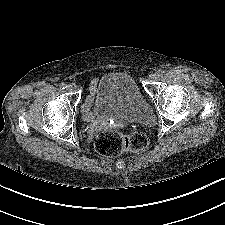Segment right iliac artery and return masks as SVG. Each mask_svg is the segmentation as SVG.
<instances>
[{
    "instance_id": "obj_1",
    "label": "right iliac artery",
    "mask_w": 225,
    "mask_h": 225,
    "mask_svg": "<svg viewBox=\"0 0 225 225\" xmlns=\"http://www.w3.org/2000/svg\"><path fill=\"white\" fill-rule=\"evenodd\" d=\"M67 85L65 83H61L60 84V88L63 90V89H66Z\"/></svg>"
}]
</instances>
